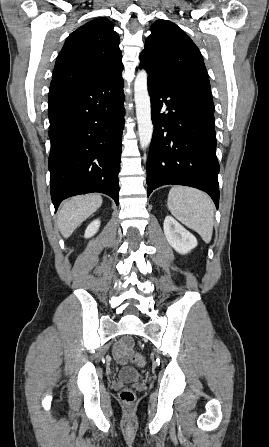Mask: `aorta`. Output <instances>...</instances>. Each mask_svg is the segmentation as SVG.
<instances>
[{
  "instance_id": "1",
  "label": "aorta",
  "mask_w": 269,
  "mask_h": 447,
  "mask_svg": "<svg viewBox=\"0 0 269 447\" xmlns=\"http://www.w3.org/2000/svg\"><path fill=\"white\" fill-rule=\"evenodd\" d=\"M134 100L138 124L139 144L146 150L151 144L154 126L151 120V102L147 90V72H138L134 82Z\"/></svg>"
}]
</instances>
